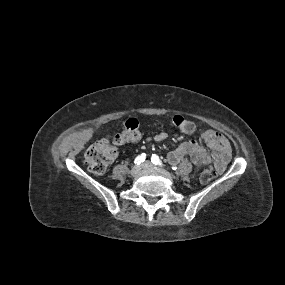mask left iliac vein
<instances>
[{"label":"left iliac vein","instance_id":"obj_1","mask_svg":"<svg viewBox=\"0 0 285 285\" xmlns=\"http://www.w3.org/2000/svg\"><path fill=\"white\" fill-rule=\"evenodd\" d=\"M152 167H153V164L151 162H145L142 165V168H144V169H148V168H152Z\"/></svg>","mask_w":285,"mask_h":285}]
</instances>
